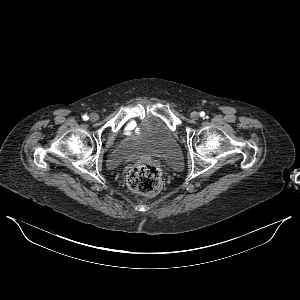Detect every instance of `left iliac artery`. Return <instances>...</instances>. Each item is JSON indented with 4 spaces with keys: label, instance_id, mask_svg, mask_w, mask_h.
<instances>
[{
    "label": "left iliac artery",
    "instance_id": "1",
    "mask_svg": "<svg viewBox=\"0 0 300 300\" xmlns=\"http://www.w3.org/2000/svg\"><path fill=\"white\" fill-rule=\"evenodd\" d=\"M200 116H201V117H204V116H205V112H203V111L200 112Z\"/></svg>",
    "mask_w": 300,
    "mask_h": 300
}]
</instances>
